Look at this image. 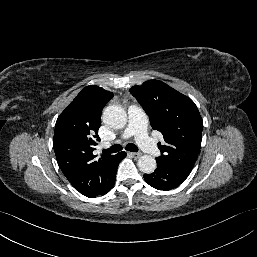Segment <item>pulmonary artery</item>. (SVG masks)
Here are the masks:
<instances>
[{
  "label": "pulmonary artery",
  "mask_w": 257,
  "mask_h": 257,
  "mask_svg": "<svg viewBox=\"0 0 257 257\" xmlns=\"http://www.w3.org/2000/svg\"><path fill=\"white\" fill-rule=\"evenodd\" d=\"M128 116L129 121L123 132V138L134 136L139 146L146 153L152 156L158 155L157 145L147 134V118L142 108L137 104H132L128 108Z\"/></svg>",
  "instance_id": "e3ab8cb5"
}]
</instances>
